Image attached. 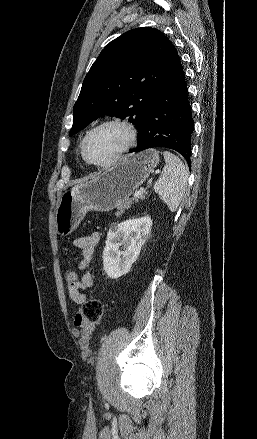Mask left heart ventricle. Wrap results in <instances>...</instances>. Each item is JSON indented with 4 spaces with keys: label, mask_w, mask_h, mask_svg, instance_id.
Wrapping results in <instances>:
<instances>
[{
    "label": "left heart ventricle",
    "mask_w": 257,
    "mask_h": 439,
    "mask_svg": "<svg viewBox=\"0 0 257 439\" xmlns=\"http://www.w3.org/2000/svg\"><path fill=\"white\" fill-rule=\"evenodd\" d=\"M126 144L125 132L116 126L104 127L91 137L87 153L95 162H105L119 152Z\"/></svg>",
    "instance_id": "b2bd125f"
}]
</instances>
